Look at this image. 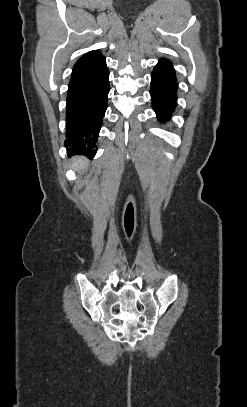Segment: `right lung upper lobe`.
<instances>
[{"instance_id": "cb5924a9", "label": "right lung upper lobe", "mask_w": 247, "mask_h": 407, "mask_svg": "<svg viewBox=\"0 0 247 407\" xmlns=\"http://www.w3.org/2000/svg\"><path fill=\"white\" fill-rule=\"evenodd\" d=\"M102 54L98 50H93L83 55L74 65L73 71L79 70L84 66L96 61L101 58Z\"/></svg>"}]
</instances>
